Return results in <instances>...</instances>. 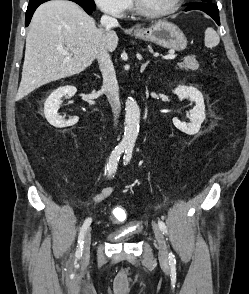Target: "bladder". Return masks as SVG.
I'll list each match as a JSON object with an SVG mask.
<instances>
[{"mask_svg": "<svg viewBox=\"0 0 249 294\" xmlns=\"http://www.w3.org/2000/svg\"><path fill=\"white\" fill-rule=\"evenodd\" d=\"M143 234V231L138 229L136 231H128L126 229H120L116 232L109 233L107 235V240L112 243L117 242H124L134 239L137 236H140Z\"/></svg>", "mask_w": 249, "mask_h": 294, "instance_id": "bladder-1", "label": "bladder"}]
</instances>
